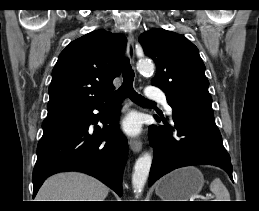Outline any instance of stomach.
<instances>
[{
	"instance_id": "stomach-1",
	"label": "stomach",
	"mask_w": 259,
	"mask_h": 211,
	"mask_svg": "<svg viewBox=\"0 0 259 211\" xmlns=\"http://www.w3.org/2000/svg\"><path fill=\"white\" fill-rule=\"evenodd\" d=\"M203 185V174L196 167L189 166L160 179L155 191L163 201H188L201 191Z\"/></svg>"
}]
</instances>
